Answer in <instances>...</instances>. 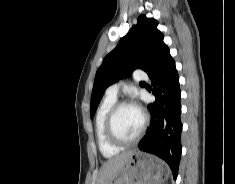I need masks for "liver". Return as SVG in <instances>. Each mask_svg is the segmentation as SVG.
Wrapping results in <instances>:
<instances>
[{
	"instance_id": "6515ba94",
	"label": "liver",
	"mask_w": 235,
	"mask_h": 184,
	"mask_svg": "<svg viewBox=\"0 0 235 184\" xmlns=\"http://www.w3.org/2000/svg\"><path fill=\"white\" fill-rule=\"evenodd\" d=\"M132 154L133 152H123V154H119L115 158H109L108 162H105L99 170L97 184H109L117 172L125 166L129 160V156H132Z\"/></svg>"
}]
</instances>
